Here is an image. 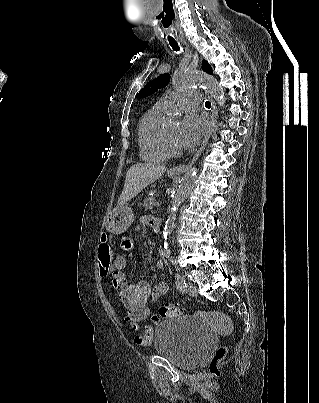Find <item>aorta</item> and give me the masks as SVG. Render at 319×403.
<instances>
[{"instance_id": "aorta-1", "label": "aorta", "mask_w": 319, "mask_h": 403, "mask_svg": "<svg viewBox=\"0 0 319 403\" xmlns=\"http://www.w3.org/2000/svg\"><path fill=\"white\" fill-rule=\"evenodd\" d=\"M172 83L177 88H186V87H203L212 95V97L216 100L217 104L220 107H224L225 105V95L224 89L219 84L216 78L201 73L195 74H187L182 72L174 73L172 77ZM197 175V169L192 168L183 176L178 188L173 194L172 197V207L170 214L165 222V226L163 229V239L164 248L162 250L163 255L168 256L170 251L168 249L167 237L172 233L175 227L176 221V212L179 206L184 202L187 198L188 194L192 190L195 179Z\"/></svg>"}]
</instances>
